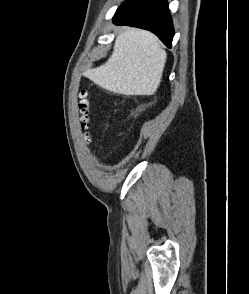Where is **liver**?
I'll return each mask as SVG.
<instances>
[{
    "mask_svg": "<svg viewBox=\"0 0 249 294\" xmlns=\"http://www.w3.org/2000/svg\"><path fill=\"white\" fill-rule=\"evenodd\" d=\"M167 54L149 31L126 28L115 40L112 55L85 75L103 89L123 95H151L161 83Z\"/></svg>",
    "mask_w": 249,
    "mask_h": 294,
    "instance_id": "liver-1",
    "label": "liver"
}]
</instances>
